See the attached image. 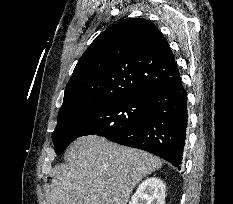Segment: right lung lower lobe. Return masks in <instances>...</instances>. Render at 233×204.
I'll list each match as a JSON object with an SVG mask.
<instances>
[{
	"label": "right lung lower lobe",
	"instance_id": "right-lung-lower-lobe-1",
	"mask_svg": "<svg viewBox=\"0 0 233 204\" xmlns=\"http://www.w3.org/2000/svg\"><path fill=\"white\" fill-rule=\"evenodd\" d=\"M150 117L109 140L153 153L180 169L188 124L187 93L174 76L149 95Z\"/></svg>",
	"mask_w": 233,
	"mask_h": 204
}]
</instances>
